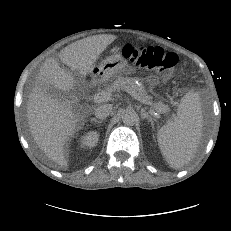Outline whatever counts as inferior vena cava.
<instances>
[{"label": "inferior vena cava", "instance_id": "inferior-vena-cava-1", "mask_svg": "<svg viewBox=\"0 0 231 231\" xmlns=\"http://www.w3.org/2000/svg\"><path fill=\"white\" fill-rule=\"evenodd\" d=\"M111 111H112V105L111 104H103V105L98 106L95 109L94 113H95L96 118L105 119L106 117L109 116Z\"/></svg>", "mask_w": 231, "mask_h": 231}]
</instances>
